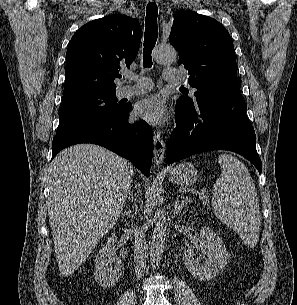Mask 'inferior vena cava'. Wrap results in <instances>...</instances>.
<instances>
[{
  "mask_svg": "<svg viewBox=\"0 0 297 305\" xmlns=\"http://www.w3.org/2000/svg\"><path fill=\"white\" fill-rule=\"evenodd\" d=\"M134 234V267L137 277H141L146 267V240L144 230L142 228H135Z\"/></svg>",
  "mask_w": 297,
  "mask_h": 305,
  "instance_id": "obj_1",
  "label": "inferior vena cava"
}]
</instances>
